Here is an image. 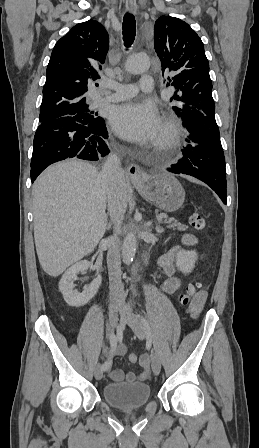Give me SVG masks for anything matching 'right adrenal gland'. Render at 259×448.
<instances>
[{
	"label": "right adrenal gland",
	"instance_id": "2a0ac1e0",
	"mask_svg": "<svg viewBox=\"0 0 259 448\" xmlns=\"http://www.w3.org/2000/svg\"><path fill=\"white\" fill-rule=\"evenodd\" d=\"M110 228H111V224H108L106 230H110Z\"/></svg>",
	"mask_w": 259,
	"mask_h": 448
}]
</instances>
